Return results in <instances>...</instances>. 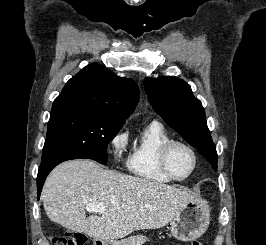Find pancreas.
Returning <instances> with one entry per match:
<instances>
[{
	"mask_svg": "<svg viewBox=\"0 0 266 245\" xmlns=\"http://www.w3.org/2000/svg\"><path fill=\"white\" fill-rule=\"evenodd\" d=\"M146 241H149L147 237H143V235H136V237H128V239L118 241L117 245H144Z\"/></svg>",
	"mask_w": 266,
	"mask_h": 245,
	"instance_id": "cf45deb5",
	"label": "pancreas"
}]
</instances>
